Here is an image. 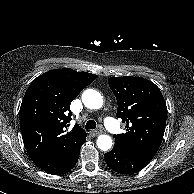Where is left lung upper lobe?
<instances>
[{
  "label": "left lung upper lobe",
  "instance_id": "5c2ea615",
  "mask_svg": "<svg viewBox=\"0 0 194 194\" xmlns=\"http://www.w3.org/2000/svg\"><path fill=\"white\" fill-rule=\"evenodd\" d=\"M117 103V117L126 123V133L114 135L115 145L152 160L163 139L167 107L159 88L141 77L108 80Z\"/></svg>",
  "mask_w": 194,
  "mask_h": 194
}]
</instances>
